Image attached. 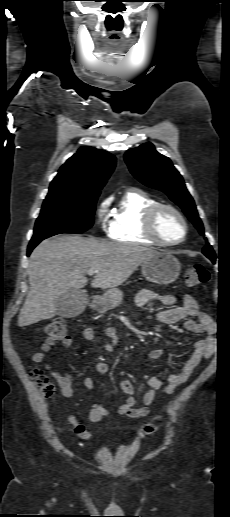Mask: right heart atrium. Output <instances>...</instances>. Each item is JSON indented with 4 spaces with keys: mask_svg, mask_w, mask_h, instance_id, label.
<instances>
[{
    "mask_svg": "<svg viewBox=\"0 0 230 517\" xmlns=\"http://www.w3.org/2000/svg\"><path fill=\"white\" fill-rule=\"evenodd\" d=\"M110 198L102 199L95 210V216L100 229L105 230L109 226L110 221Z\"/></svg>",
    "mask_w": 230,
    "mask_h": 517,
    "instance_id": "d8ad5b80",
    "label": "right heart atrium"
}]
</instances>
